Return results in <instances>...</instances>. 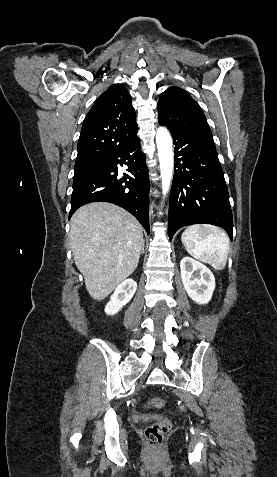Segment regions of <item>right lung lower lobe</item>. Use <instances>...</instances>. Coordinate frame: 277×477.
Listing matches in <instances>:
<instances>
[{
	"mask_svg": "<svg viewBox=\"0 0 277 477\" xmlns=\"http://www.w3.org/2000/svg\"><path fill=\"white\" fill-rule=\"evenodd\" d=\"M138 137L128 144L75 172L69 219L82 205L110 202L129 211L149 234L148 168ZM128 166V173L118 176L117 165ZM128 180V181H127Z\"/></svg>",
	"mask_w": 277,
	"mask_h": 477,
	"instance_id": "right-lung-lower-lobe-1",
	"label": "right lung lower lobe"
}]
</instances>
